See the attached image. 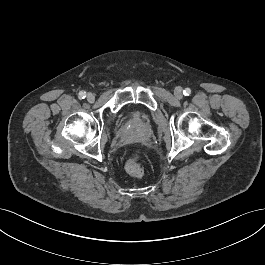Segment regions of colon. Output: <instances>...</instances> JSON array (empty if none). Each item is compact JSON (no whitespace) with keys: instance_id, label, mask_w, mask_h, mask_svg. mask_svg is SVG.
<instances>
[{"instance_id":"colon-1","label":"colon","mask_w":265,"mask_h":265,"mask_svg":"<svg viewBox=\"0 0 265 265\" xmlns=\"http://www.w3.org/2000/svg\"><path fill=\"white\" fill-rule=\"evenodd\" d=\"M125 170L133 177L141 178L144 175L145 168L139 155L132 156L125 164Z\"/></svg>"}]
</instances>
